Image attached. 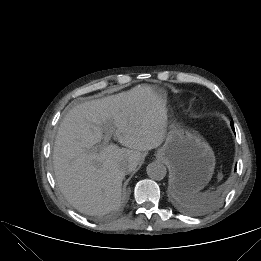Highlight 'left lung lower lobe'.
Segmentation results:
<instances>
[{
	"label": "left lung lower lobe",
	"mask_w": 261,
	"mask_h": 261,
	"mask_svg": "<svg viewBox=\"0 0 261 261\" xmlns=\"http://www.w3.org/2000/svg\"><path fill=\"white\" fill-rule=\"evenodd\" d=\"M231 127H232V129L234 130V124H233V121H231Z\"/></svg>",
	"instance_id": "left-lung-lower-lobe-1"
}]
</instances>
